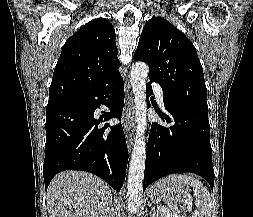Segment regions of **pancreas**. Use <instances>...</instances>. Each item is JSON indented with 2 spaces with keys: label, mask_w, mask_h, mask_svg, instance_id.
Segmentation results:
<instances>
[{
  "label": "pancreas",
  "mask_w": 253,
  "mask_h": 217,
  "mask_svg": "<svg viewBox=\"0 0 253 217\" xmlns=\"http://www.w3.org/2000/svg\"><path fill=\"white\" fill-rule=\"evenodd\" d=\"M157 217H178V216H175V215L168 209V212L158 211Z\"/></svg>",
  "instance_id": "cf45deb5"
}]
</instances>
